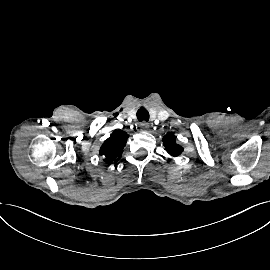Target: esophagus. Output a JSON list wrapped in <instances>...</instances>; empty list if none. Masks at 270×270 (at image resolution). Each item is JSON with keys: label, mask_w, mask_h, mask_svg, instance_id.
I'll return each mask as SVG.
<instances>
[{"label": "esophagus", "mask_w": 270, "mask_h": 270, "mask_svg": "<svg viewBox=\"0 0 270 270\" xmlns=\"http://www.w3.org/2000/svg\"><path fill=\"white\" fill-rule=\"evenodd\" d=\"M140 127H141V130L147 131L149 129L150 125H149V123H147V122L144 121V122H142L140 124Z\"/></svg>", "instance_id": "1"}]
</instances>
